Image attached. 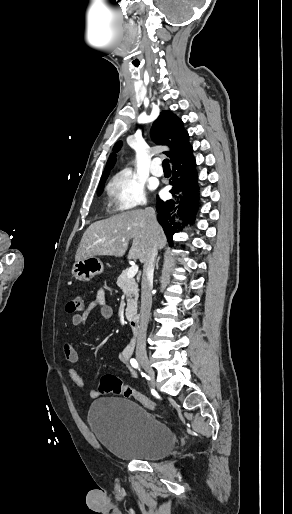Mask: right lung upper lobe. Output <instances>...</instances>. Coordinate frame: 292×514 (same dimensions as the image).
Returning a JSON list of instances; mask_svg holds the SVG:
<instances>
[{"instance_id": "obj_1", "label": "right lung upper lobe", "mask_w": 292, "mask_h": 514, "mask_svg": "<svg viewBox=\"0 0 292 514\" xmlns=\"http://www.w3.org/2000/svg\"><path fill=\"white\" fill-rule=\"evenodd\" d=\"M152 139L159 145H167L170 148L169 152H165L171 158L172 165L177 161L189 156L193 149L188 141V133L183 128V122L174 115L171 111H162L159 117L153 123L151 129ZM122 143L119 141L113 147V151H119ZM116 162V156L111 154L101 181L106 180L109 176L110 170Z\"/></svg>"}]
</instances>
